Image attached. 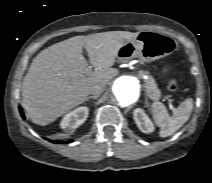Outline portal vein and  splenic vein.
Here are the masks:
<instances>
[{"label":"portal vein and splenic vein","instance_id":"1","mask_svg":"<svg viewBox=\"0 0 212 183\" xmlns=\"http://www.w3.org/2000/svg\"><path fill=\"white\" fill-rule=\"evenodd\" d=\"M88 70H89V69H88ZM165 99L168 101L169 108H170L171 110H173V109H174L173 104L168 100V98H165Z\"/></svg>","mask_w":212,"mask_h":183}]
</instances>
